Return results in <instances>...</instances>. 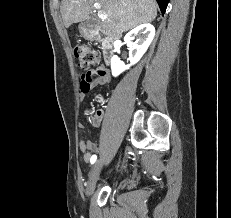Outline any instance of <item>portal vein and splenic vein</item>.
<instances>
[{
	"mask_svg": "<svg viewBox=\"0 0 231 218\" xmlns=\"http://www.w3.org/2000/svg\"><path fill=\"white\" fill-rule=\"evenodd\" d=\"M94 8L97 9V10H100L101 8V5L100 3L96 2L94 3ZM98 17L101 19V20H104L107 18V15L105 13H102L101 11L98 12Z\"/></svg>",
	"mask_w": 231,
	"mask_h": 218,
	"instance_id": "18ae733b",
	"label": "portal vein and splenic vein"
}]
</instances>
